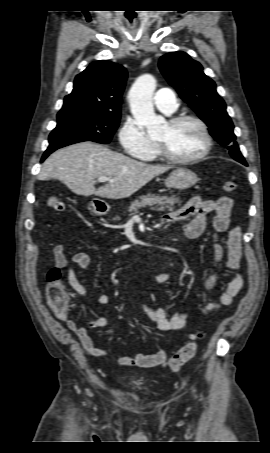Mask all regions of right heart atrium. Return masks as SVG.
<instances>
[{"instance_id": "obj_1", "label": "right heart atrium", "mask_w": 270, "mask_h": 453, "mask_svg": "<svg viewBox=\"0 0 270 453\" xmlns=\"http://www.w3.org/2000/svg\"><path fill=\"white\" fill-rule=\"evenodd\" d=\"M118 139L123 151L135 158H144L155 148V143L132 118L124 120L118 132Z\"/></svg>"}]
</instances>
